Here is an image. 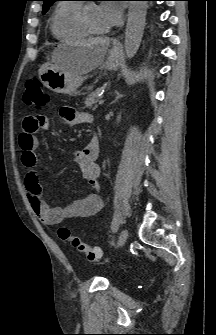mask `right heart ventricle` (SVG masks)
Instances as JSON below:
<instances>
[{
    "label": "right heart ventricle",
    "instance_id": "1",
    "mask_svg": "<svg viewBox=\"0 0 216 335\" xmlns=\"http://www.w3.org/2000/svg\"><path fill=\"white\" fill-rule=\"evenodd\" d=\"M82 4L59 3L52 15L50 30L53 36L61 41L77 40L87 36V32L80 26L78 12Z\"/></svg>",
    "mask_w": 216,
    "mask_h": 335
}]
</instances>
